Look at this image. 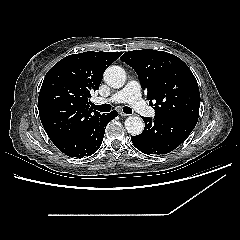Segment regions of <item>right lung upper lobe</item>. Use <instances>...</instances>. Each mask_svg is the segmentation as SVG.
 <instances>
[{"label":"right lung upper lobe","mask_w":240,"mask_h":240,"mask_svg":"<svg viewBox=\"0 0 240 240\" xmlns=\"http://www.w3.org/2000/svg\"><path fill=\"white\" fill-rule=\"evenodd\" d=\"M122 53L88 51L56 63L42 83L38 109L42 125L55 144L88 128L101 114L90 107L103 73Z\"/></svg>","instance_id":"obj_1"}]
</instances>
